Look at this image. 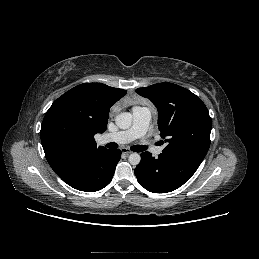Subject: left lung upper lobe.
Wrapping results in <instances>:
<instances>
[{"instance_id":"1","label":"left lung upper lobe","mask_w":259,"mask_h":259,"mask_svg":"<svg viewBox=\"0 0 259 259\" xmlns=\"http://www.w3.org/2000/svg\"><path fill=\"white\" fill-rule=\"evenodd\" d=\"M136 92L158 109L161 137L168 139L164 154L202 161L210 146L212 120L202 100L191 91L173 83H159Z\"/></svg>"}]
</instances>
